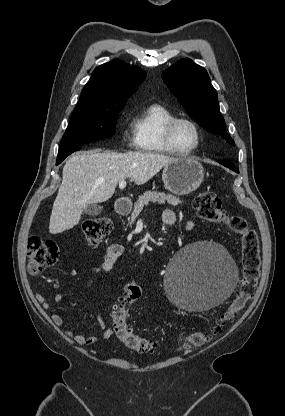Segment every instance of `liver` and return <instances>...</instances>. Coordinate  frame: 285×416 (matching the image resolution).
<instances>
[{
    "label": "liver",
    "mask_w": 285,
    "mask_h": 416,
    "mask_svg": "<svg viewBox=\"0 0 285 416\" xmlns=\"http://www.w3.org/2000/svg\"><path fill=\"white\" fill-rule=\"evenodd\" d=\"M175 158L152 152H78L67 160L62 184L50 216V234H60L80 222L89 204L107 202L118 182L131 178L137 186L146 184Z\"/></svg>",
    "instance_id": "1"
}]
</instances>
